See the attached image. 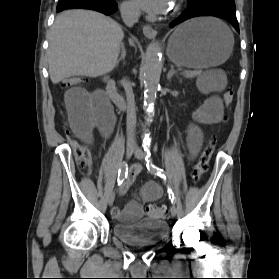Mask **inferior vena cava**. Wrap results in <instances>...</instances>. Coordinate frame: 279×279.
Masks as SVG:
<instances>
[{
    "mask_svg": "<svg viewBox=\"0 0 279 279\" xmlns=\"http://www.w3.org/2000/svg\"><path fill=\"white\" fill-rule=\"evenodd\" d=\"M120 13L123 22L129 27H132L137 23L140 17L139 8L132 4H122L120 7ZM125 92L127 98L128 144L135 147L136 108L132 86L128 80L125 81Z\"/></svg>",
    "mask_w": 279,
    "mask_h": 279,
    "instance_id": "obj_1",
    "label": "inferior vena cava"
}]
</instances>
